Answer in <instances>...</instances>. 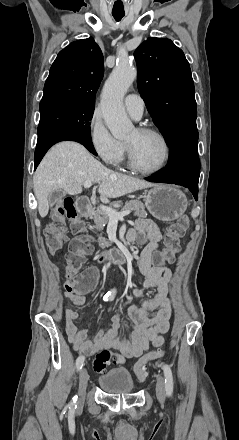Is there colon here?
<instances>
[{"mask_svg": "<svg viewBox=\"0 0 239 440\" xmlns=\"http://www.w3.org/2000/svg\"><path fill=\"white\" fill-rule=\"evenodd\" d=\"M53 219L57 222H63L65 219L70 220L72 231L78 234V237L72 242L70 251L67 254L65 271L66 276L74 281L76 288L83 290L87 285L95 282L97 276L93 272L84 271L81 273L85 258L91 252L92 248L83 235L85 229L84 222L79 217L73 200L66 199L63 205L55 210ZM188 225L189 218L187 216H181L167 228L165 246L154 255V264L163 265L165 262L173 259L179 245V240L184 236ZM45 236L49 251L53 254L57 253L65 240L63 232L55 226H50L46 229ZM164 354L165 350L158 349L142 356L134 367L138 378L144 379L147 374V364L163 357ZM112 361H114V357L110 351H100L94 358L93 368L96 372L102 373Z\"/></svg>", "mask_w": 239, "mask_h": 440, "instance_id": "obj_1", "label": "colon"}]
</instances>
